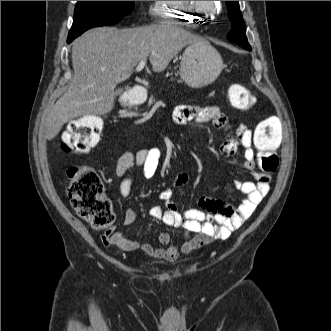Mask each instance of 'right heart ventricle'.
Returning a JSON list of instances; mask_svg holds the SVG:
<instances>
[{"instance_id":"e07e8e85","label":"right heart ventricle","mask_w":331,"mask_h":331,"mask_svg":"<svg viewBox=\"0 0 331 331\" xmlns=\"http://www.w3.org/2000/svg\"><path fill=\"white\" fill-rule=\"evenodd\" d=\"M151 13L161 22L178 23L192 27L210 16L208 10L200 11L190 1H153Z\"/></svg>"}]
</instances>
